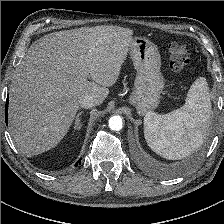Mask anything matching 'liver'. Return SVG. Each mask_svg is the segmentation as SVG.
Segmentation results:
<instances>
[{"mask_svg":"<svg viewBox=\"0 0 224 224\" xmlns=\"http://www.w3.org/2000/svg\"><path fill=\"white\" fill-rule=\"evenodd\" d=\"M132 35L119 26L82 27L47 34L30 46L9 98L10 134L22 154L31 157L57 146L82 97L92 96L97 105L107 98Z\"/></svg>","mask_w":224,"mask_h":224,"instance_id":"1","label":"liver"}]
</instances>
